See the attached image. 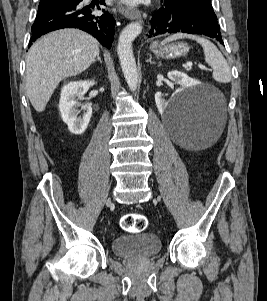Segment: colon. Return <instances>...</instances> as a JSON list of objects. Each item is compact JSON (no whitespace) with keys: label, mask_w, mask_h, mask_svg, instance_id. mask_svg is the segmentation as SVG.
<instances>
[{"label":"colon","mask_w":267,"mask_h":301,"mask_svg":"<svg viewBox=\"0 0 267 301\" xmlns=\"http://www.w3.org/2000/svg\"><path fill=\"white\" fill-rule=\"evenodd\" d=\"M121 228L130 233H139L146 229L147 218L139 213L125 214L120 221Z\"/></svg>","instance_id":"colon-1"}]
</instances>
